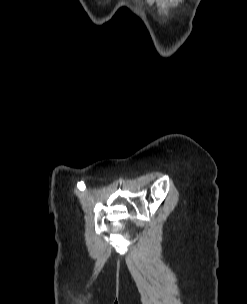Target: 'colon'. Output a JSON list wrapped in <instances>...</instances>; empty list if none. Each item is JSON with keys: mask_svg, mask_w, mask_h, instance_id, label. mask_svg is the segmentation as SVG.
I'll return each instance as SVG.
<instances>
[{"mask_svg": "<svg viewBox=\"0 0 247 304\" xmlns=\"http://www.w3.org/2000/svg\"><path fill=\"white\" fill-rule=\"evenodd\" d=\"M115 226L116 227H123L124 226V221L123 220H116L115 221Z\"/></svg>", "mask_w": 247, "mask_h": 304, "instance_id": "colon-1", "label": "colon"}]
</instances>
